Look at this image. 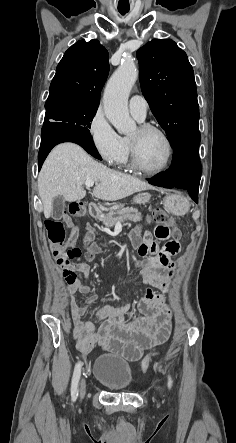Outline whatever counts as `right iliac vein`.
I'll use <instances>...</instances> for the list:
<instances>
[{
  "instance_id": "right-iliac-vein-1",
  "label": "right iliac vein",
  "mask_w": 236,
  "mask_h": 443,
  "mask_svg": "<svg viewBox=\"0 0 236 443\" xmlns=\"http://www.w3.org/2000/svg\"><path fill=\"white\" fill-rule=\"evenodd\" d=\"M79 391H80V395L81 396H83L85 394V391H86V381H85L84 378H82L81 381H80Z\"/></svg>"
}]
</instances>
